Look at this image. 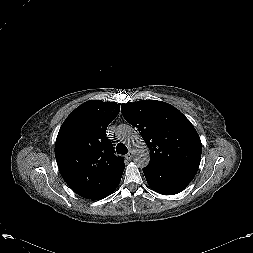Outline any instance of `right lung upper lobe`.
<instances>
[{
	"label": "right lung upper lobe",
	"mask_w": 253,
	"mask_h": 253,
	"mask_svg": "<svg viewBox=\"0 0 253 253\" xmlns=\"http://www.w3.org/2000/svg\"><path fill=\"white\" fill-rule=\"evenodd\" d=\"M115 102L90 100L77 107L62 124L55 143L58 168L78 195L94 199L121 180L125 164L116 157L106 136L117 117Z\"/></svg>",
	"instance_id": "obj_1"
}]
</instances>
